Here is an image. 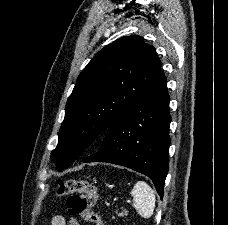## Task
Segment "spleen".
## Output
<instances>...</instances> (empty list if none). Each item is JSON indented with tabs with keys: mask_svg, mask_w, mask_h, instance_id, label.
<instances>
[{
	"mask_svg": "<svg viewBox=\"0 0 228 225\" xmlns=\"http://www.w3.org/2000/svg\"><path fill=\"white\" fill-rule=\"evenodd\" d=\"M131 195L133 197V207L143 219H149L152 217L155 209V193L147 183L144 181H138L136 185H134Z\"/></svg>",
	"mask_w": 228,
	"mask_h": 225,
	"instance_id": "spleen-1",
	"label": "spleen"
}]
</instances>
